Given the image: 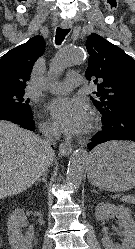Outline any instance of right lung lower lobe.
Masks as SVG:
<instances>
[{
  "mask_svg": "<svg viewBox=\"0 0 135 249\" xmlns=\"http://www.w3.org/2000/svg\"><path fill=\"white\" fill-rule=\"evenodd\" d=\"M0 120L12 121L25 129L35 130L31 112L11 104L0 103Z\"/></svg>",
  "mask_w": 135,
  "mask_h": 249,
  "instance_id": "right-lung-lower-lobe-1",
  "label": "right lung lower lobe"
}]
</instances>
